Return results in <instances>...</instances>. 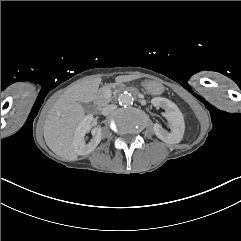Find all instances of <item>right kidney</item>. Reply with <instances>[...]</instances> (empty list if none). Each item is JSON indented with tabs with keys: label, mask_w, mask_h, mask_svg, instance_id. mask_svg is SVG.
I'll return each mask as SVG.
<instances>
[{
	"label": "right kidney",
	"mask_w": 241,
	"mask_h": 241,
	"mask_svg": "<svg viewBox=\"0 0 241 241\" xmlns=\"http://www.w3.org/2000/svg\"><path fill=\"white\" fill-rule=\"evenodd\" d=\"M93 115H86L78 124L74 131L73 148L78 155H87L91 153L101 141L102 130L100 127H94L91 131L92 139L89 143H85L84 137L92 128Z\"/></svg>",
	"instance_id": "1"
}]
</instances>
